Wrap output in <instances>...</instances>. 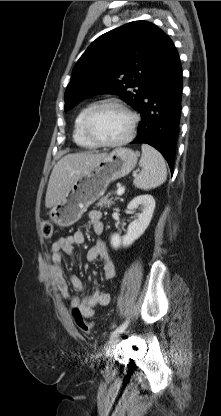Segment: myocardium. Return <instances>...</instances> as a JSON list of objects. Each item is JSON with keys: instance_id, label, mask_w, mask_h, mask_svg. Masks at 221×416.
<instances>
[{"instance_id": "f54148a6", "label": "myocardium", "mask_w": 221, "mask_h": 416, "mask_svg": "<svg viewBox=\"0 0 221 416\" xmlns=\"http://www.w3.org/2000/svg\"><path fill=\"white\" fill-rule=\"evenodd\" d=\"M107 106H116L123 111H125L129 117H130V127L128 133L121 139L116 141H104L99 139L92 131L91 129V123L95 115L103 108ZM138 115L124 102L118 100V99H106L103 101L98 102L95 104L89 112L86 114L84 121H83V130L87 138L92 141L97 146H103V147H118L127 144L130 142L137 129L138 125Z\"/></svg>"}]
</instances>
